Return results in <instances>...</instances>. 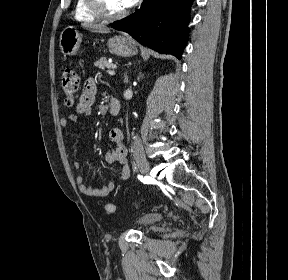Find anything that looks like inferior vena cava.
I'll use <instances>...</instances> for the list:
<instances>
[{"label": "inferior vena cava", "mask_w": 288, "mask_h": 280, "mask_svg": "<svg viewBox=\"0 0 288 280\" xmlns=\"http://www.w3.org/2000/svg\"><path fill=\"white\" fill-rule=\"evenodd\" d=\"M123 94H125L126 97H136V92H133V89H123ZM139 134H134L133 141L131 142V147H133L134 155L136 159H147V154L143 153V144L140 142Z\"/></svg>", "instance_id": "obj_1"}]
</instances>
